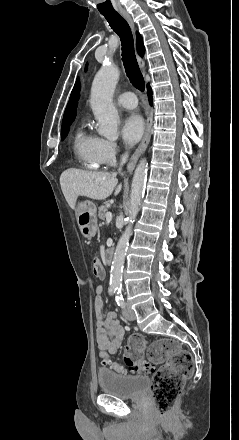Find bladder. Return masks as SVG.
Returning a JSON list of instances; mask_svg holds the SVG:
<instances>
[{
  "mask_svg": "<svg viewBox=\"0 0 239 440\" xmlns=\"http://www.w3.org/2000/svg\"><path fill=\"white\" fill-rule=\"evenodd\" d=\"M97 378L104 393L124 399L142 396L150 384L145 376L121 375L108 369H100Z\"/></svg>",
  "mask_w": 239,
  "mask_h": 440,
  "instance_id": "1",
  "label": "bladder"
}]
</instances>
